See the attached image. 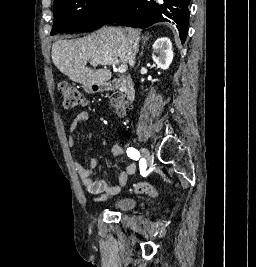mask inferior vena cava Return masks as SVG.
<instances>
[{
	"label": "inferior vena cava",
	"instance_id": "602c4592",
	"mask_svg": "<svg viewBox=\"0 0 256 267\" xmlns=\"http://www.w3.org/2000/svg\"><path fill=\"white\" fill-rule=\"evenodd\" d=\"M133 50H134V56H135V54H137L138 52V44H134Z\"/></svg>",
	"mask_w": 256,
	"mask_h": 267
}]
</instances>
